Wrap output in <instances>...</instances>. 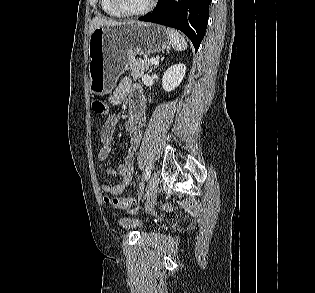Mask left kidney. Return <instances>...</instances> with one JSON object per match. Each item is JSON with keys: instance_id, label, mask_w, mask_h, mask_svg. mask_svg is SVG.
<instances>
[{"instance_id": "5707ae66", "label": "left kidney", "mask_w": 315, "mask_h": 293, "mask_svg": "<svg viewBox=\"0 0 315 293\" xmlns=\"http://www.w3.org/2000/svg\"><path fill=\"white\" fill-rule=\"evenodd\" d=\"M186 73L184 64H175L168 68L163 75L162 85L165 91H173L180 85Z\"/></svg>"}]
</instances>
